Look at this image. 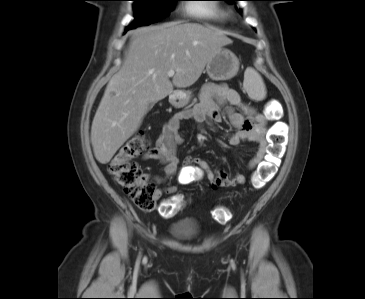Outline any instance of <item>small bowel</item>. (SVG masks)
Wrapping results in <instances>:
<instances>
[{
	"label": "small bowel",
	"instance_id": "c3829d8e",
	"mask_svg": "<svg viewBox=\"0 0 365 299\" xmlns=\"http://www.w3.org/2000/svg\"><path fill=\"white\" fill-rule=\"evenodd\" d=\"M222 109L235 128V131L228 136L229 144L238 146L246 141L257 144V150L248 164L249 169H255L267 151L268 119L244 102L237 91L214 83H208L203 87L200 101L195 107L173 115L163 125L155 147L147 151L143 159L159 161L164 166L166 176H173L179 165L176 148L183 142L180 133L182 121L190 120L197 124L219 121ZM183 162V172L178 179L180 184L204 178L213 188H220L235 187L246 181V176L241 172L234 176H228L223 171L214 172L207 162L200 158L188 156ZM176 191L175 186L157 189L156 196L160 198L165 193L173 194Z\"/></svg>",
	"mask_w": 365,
	"mask_h": 299
}]
</instances>
